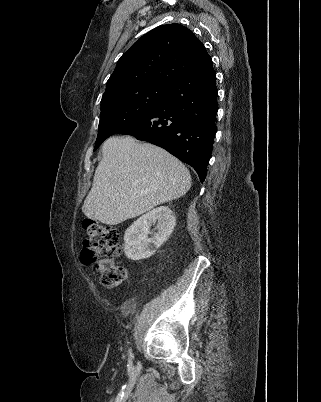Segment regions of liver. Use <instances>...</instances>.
Segmentation results:
<instances>
[{"mask_svg": "<svg viewBox=\"0 0 321 402\" xmlns=\"http://www.w3.org/2000/svg\"><path fill=\"white\" fill-rule=\"evenodd\" d=\"M102 152L82 212L103 224H120L191 187L188 169L161 147L121 136L107 139Z\"/></svg>", "mask_w": 321, "mask_h": 402, "instance_id": "liver-1", "label": "liver"}]
</instances>
